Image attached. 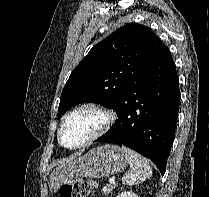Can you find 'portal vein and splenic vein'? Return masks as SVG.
<instances>
[{
    "label": "portal vein and splenic vein",
    "mask_w": 209,
    "mask_h": 197,
    "mask_svg": "<svg viewBox=\"0 0 209 197\" xmlns=\"http://www.w3.org/2000/svg\"><path fill=\"white\" fill-rule=\"evenodd\" d=\"M109 183L114 184L115 183V179L114 178L109 179Z\"/></svg>",
    "instance_id": "obj_1"
}]
</instances>
